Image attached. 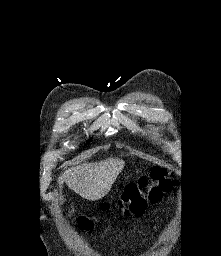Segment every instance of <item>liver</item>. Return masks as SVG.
Wrapping results in <instances>:
<instances>
[{"mask_svg": "<svg viewBox=\"0 0 221 256\" xmlns=\"http://www.w3.org/2000/svg\"><path fill=\"white\" fill-rule=\"evenodd\" d=\"M125 162L116 158L95 163H84L66 170L58 179L60 189L67 186L82 198L96 201L103 198L111 189L123 170ZM63 200V197H61Z\"/></svg>", "mask_w": 221, "mask_h": 256, "instance_id": "1", "label": "liver"}]
</instances>
